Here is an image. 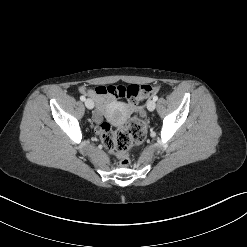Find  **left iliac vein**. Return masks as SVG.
Listing matches in <instances>:
<instances>
[{"label":"left iliac vein","mask_w":247,"mask_h":247,"mask_svg":"<svg viewBox=\"0 0 247 247\" xmlns=\"http://www.w3.org/2000/svg\"><path fill=\"white\" fill-rule=\"evenodd\" d=\"M155 107H156V103H155L154 100H149V101L147 102V109H148L149 111H153V110L155 109Z\"/></svg>","instance_id":"left-iliac-vein-1"}]
</instances>
